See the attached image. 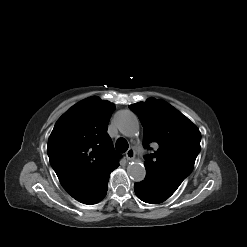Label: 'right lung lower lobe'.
I'll return each instance as SVG.
<instances>
[{"label":"right lung lower lobe","mask_w":247,"mask_h":247,"mask_svg":"<svg viewBox=\"0 0 247 247\" xmlns=\"http://www.w3.org/2000/svg\"><path fill=\"white\" fill-rule=\"evenodd\" d=\"M109 175L105 176L104 179L95 185L85 196L78 199V201L84 204H95L101 201L107 193Z\"/></svg>","instance_id":"98d812e1"}]
</instances>
